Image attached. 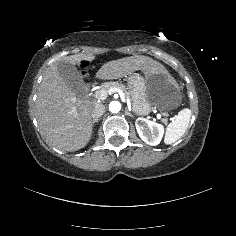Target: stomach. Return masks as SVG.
Segmentation results:
<instances>
[{
  "mask_svg": "<svg viewBox=\"0 0 236 236\" xmlns=\"http://www.w3.org/2000/svg\"><path fill=\"white\" fill-rule=\"evenodd\" d=\"M127 83L132 110L136 115H148L153 107L170 111L182 102L183 95L177 88L175 79L165 71L148 73L145 78L138 73H132Z\"/></svg>",
  "mask_w": 236,
  "mask_h": 236,
  "instance_id": "obj_1",
  "label": "stomach"
}]
</instances>
